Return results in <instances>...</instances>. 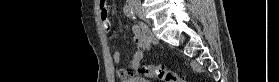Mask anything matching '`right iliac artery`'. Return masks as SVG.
<instances>
[{
    "label": "right iliac artery",
    "instance_id": "right-iliac-artery-1",
    "mask_svg": "<svg viewBox=\"0 0 279 82\" xmlns=\"http://www.w3.org/2000/svg\"><path fill=\"white\" fill-rule=\"evenodd\" d=\"M123 11H124V13L127 17L133 18V19L135 18V14H134V12H133V10L130 6L125 5L124 8H123ZM140 25H141V28L143 30V34L146 35L147 34L146 26H144L143 24H140ZM146 48H147V50L150 49V42L149 41H147Z\"/></svg>",
    "mask_w": 279,
    "mask_h": 82
}]
</instances>
